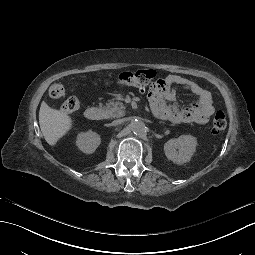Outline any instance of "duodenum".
Listing matches in <instances>:
<instances>
[{
  "mask_svg": "<svg viewBox=\"0 0 255 255\" xmlns=\"http://www.w3.org/2000/svg\"><path fill=\"white\" fill-rule=\"evenodd\" d=\"M153 114L161 120H169L170 115L167 110L163 107H154L152 108ZM85 116L87 119L92 121L102 120L105 116V112L102 108L97 106H92L86 109Z\"/></svg>",
  "mask_w": 255,
  "mask_h": 255,
  "instance_id": "duodenum-1",
  "label": "duodenum"
}]
</instances>
